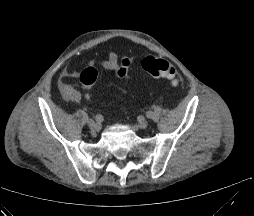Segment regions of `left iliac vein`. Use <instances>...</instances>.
Instances as JSON below:
<instances>
[{"mask_svg": "<svg viewBox=\"0 0 254 216\" xmlns=\"http://www.w3.org/2000/svg\"><path fill=\"white\" fill-rule=\"evenodd\" d=\"M147 126H148V122L146 120H140L138 123V127L140 129H145V128H147Z\"/></svg>", "mask_w": 254, "mask_h": 216, "instance_id": "obj_1", "label": "left iliac vein"}]
</instances>
